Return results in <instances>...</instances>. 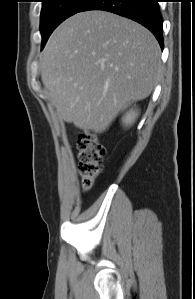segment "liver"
<instances>
[{"label":"liver","mask_w":195,"mask_h":299,"mask_svg":"<svg viewBox=\"0 0 195 299\" xmlns=\"http://www.w3.org/2000/svg\"><path fill=\"white\" fill-rule=\"evenodd\" d=\"M160 54L140 24L105 11L81 12L50 36L41 80L65 122L102 133L128 104L150 95L161 74Z\"/></svg>","instance_id":"6515ba94"}]
</instances>
